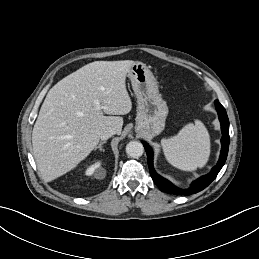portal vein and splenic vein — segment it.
<instances>
[{
    "instance_id": "18ae733b",
    "label": "portal vein and splenic vein",
    "mask_w": 259,
    "mask_h": 259,
    "mask_svg": "<svg viewBox=\"0 0 259 259\" xmlns=\"http://www.w3.org/2000/svg\"><path fill=\"white\" fill-rule=\"evenodd\" d=\"M95 105H96V107H97L98 109L100 108V104H99L98 101H95Z\"/></svg>"
}]
</instances>
